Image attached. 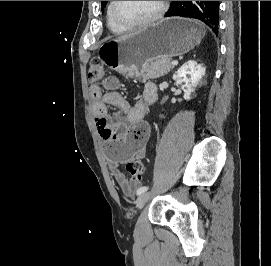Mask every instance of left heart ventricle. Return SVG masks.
<instances>
[{
    "instance_id": "left-heart-ventricle-1",
    "label": "left heart ventricle",
    "mask_w": 271,
    "mask_h": 266,
    "mask_svg": "<svg viewBox=\"0 0 271 266\" xmlns=\"http://www.w3.org/2000/svg\"><path fill=\"white\" fill-rule=\"evenodd\" d=\"M158 1H118L116 12L128 22L142 21L155 13Z\"/></svg>"
}]
</instances>
